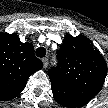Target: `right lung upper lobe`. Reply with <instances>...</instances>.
Here are the masks:
<instances>
[{"instance_id": "1", "label": "right lung upper lobe", "mask_w": 108, "mask_h": 108, "mask_svg": "<svg viewBox=\"0 0 108 108\" xmlns=\"http://www.w3.org/2000/svg\"><path fill=\"white\" fill-rule=\"evenodd\" d=\"M43 67L33 45L20 42L16 33L0 34V99L11 100L25 88L29 77Z\"/></svg>"}]
</instances>
